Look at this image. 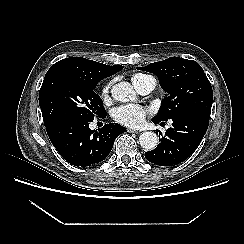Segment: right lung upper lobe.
<instances>
[{
	"instance_id": "cb5924a9",
	"label": "right lung upper lobe",
	"mask_w": 244,
	"mask_h": 244,
	"mask_svg": "<svg viewBox=\"0 0 244 244\" xmlns=\"http://www.w3.org/2000/svg\"><path fill=\"white\" fill-rule=\"evenodd\" d=\"M50 68L61 69L69 74L84 78L87 81L99 82L103 78L117 73L123 69V66H109L82 57H70L58 61Z\"/></svg>"
}]
</instances>
